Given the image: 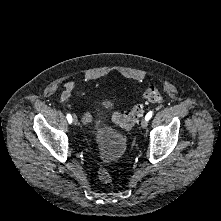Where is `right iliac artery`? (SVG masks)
Listing matches in <instances>:
<instances>
[{"mask_svg": "<svg viewBox=\"0 0 221 221\" xmlns=\"http://www.w3.org/2000/svg\"><path fill=\"white\" fill-rule=\"evenodd\" d=\"M66 118H67V120H68L69 123L72 122V116H71L70 114H67V117H66Z\"/></svg>", "mask_w": 221, "mask_h": 221, "instance_id": "1", "label": "right iliac artery"}]
</instances>
